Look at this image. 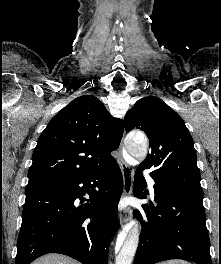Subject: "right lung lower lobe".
I'll use <instances>...</instances> for the list:
<instances>
[{
    "label": "right lung lower lobe",
    "instance_id": "98d812e1",
    "mask_svg": "<svg viewBox=\"0 0 221 264\" xmlns=\"http://www.w3.org/2000/svg\"><path fill=\"white\" fill-rule=\"evenodd\" d=\"M122 191L123 177L114 158L91 173L26 188L15 264H30L47 253L83 264H107L109 244L119 228ZM86 193L89 200L82 197Z\"/></svg>",
    "mask_w": 221,
    "mask_h": 264
}]
</instances>
